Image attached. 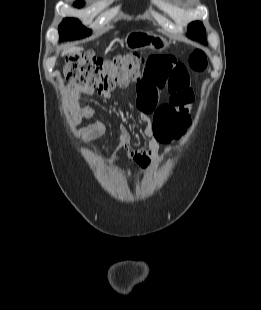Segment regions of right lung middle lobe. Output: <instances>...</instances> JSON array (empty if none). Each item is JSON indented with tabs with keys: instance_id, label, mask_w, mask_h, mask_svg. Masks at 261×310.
<instances>
[{
	"instance_id": "1",
	"label": "right lung middle lobe",
	"mask_w": 261,
	"mask_h": 310,
	"mask_svg": "<svg viewBox=\"0 0 261 310\" xmlns=\"http://www.w3.org/2000/svg\"><path fill=\"white\" fill-rule=\"evenodd\" d=\"M84 5L83 1H77L76 6ZM91 34V30L86 29L77 19H64L59 26L60 40L79 39Z\"/></svg>"
}]
</instances>
